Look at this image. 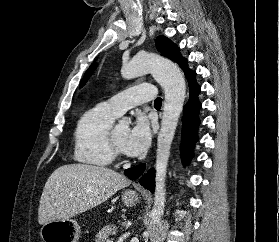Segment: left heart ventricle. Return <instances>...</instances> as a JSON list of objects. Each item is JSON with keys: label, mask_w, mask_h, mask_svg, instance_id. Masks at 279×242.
I'll return each mask as SVG.
<instances>
[{"label": "left heart ventricle", "mask_w": 279, "mask_h": 242, "mask_svg": "<svg viewBox=\"0 0 279 242\" xmlns=\"http://www.w3.org/2000/svg\"><path fill=\"white\" fill-rule=\"evenodd\" d=\"M129 127L126 125L118 126L115 129L114 135L115 140L119 144V146L125 151V143L129 134Z\"/></svg>", "instance_id": "obj_1"}]
</instances>
